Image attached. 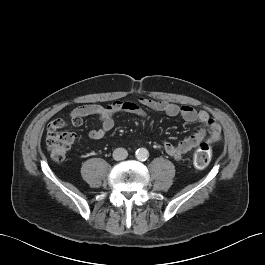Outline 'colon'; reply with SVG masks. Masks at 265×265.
<instances>
[{
	"label": "colon",
	"instance_id": "obj_1",
	"mask_svg": "<svg viewBox=\"0 0 265 265\" xmlns=\"http://www.w3.org/2000/svg\"><path fill=\"white\" fill-rule=\"evenodd\" d=\"M67 123L64 120H54L47 129V147L51 157L54 160H63L75 141V135L72 132L64 130ZM212 158L211 147L203 143L193 155V165L197 169H204L208 166Z\"/></svg>",
	"mask_w": 265,
	"mask_h": 265
}]
</instances>
